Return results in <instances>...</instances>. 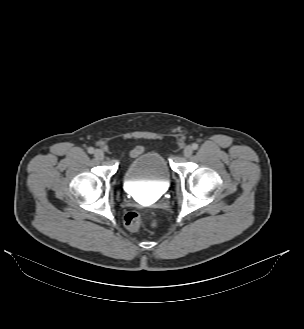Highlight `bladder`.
I'll list each match as a JSON object with an SVG mask.
<instances>
[{"label": "bladder", "instance_id": "bladder-1", "mask_svg": "<svg viewBox=\"0 0 304 329\" xmlns=\"http://www.w3.org/2000/svg\"><path fill=\"white\" fill-rule=\"evenodd\" d=\"M122 180L126 186L138 183L164 186L170 181V169L159 152L147 151L140 153L126 165Z\"/></svg>", "mask_w": 304, "mask_h": 329}]
</instances>
